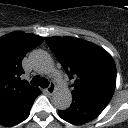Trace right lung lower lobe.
I'll use <instances>...</instances> for the list:
<instances>
[{
  "label": "right lung lower lobe",
  "instance_id": "right-lung-lower-lobe-1",
  "mask_svg": "<svg viewBox=\"0 0 128 128\" xmlns=\"http://www.w3.org/2000/svg\"><path fill=\"white\" fill-rule=\"evenodd\" d=\"M40 93V90L35 89L30 94L14 102L8 110L0 113V124L4 126H13L25 120L30 114V109L35 98Z\"/></svg>",
  "mask_w": 128,
  "mask_h": 128
}]
</instances>
